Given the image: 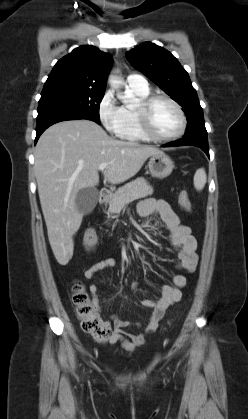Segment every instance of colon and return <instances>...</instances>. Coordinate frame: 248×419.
<instances>
[{"mask_svg":"<svg viewBox=\"0 0 248 419\" xmlns=\"http://www.w3.org/2000/svg\"><path fill=\"white\" fill-rule=\"evenodd\" d=\"M180 206L187 212L192 209V203L186 190L180 191L178 195ZM97 242V236L93 229L86 231L84 235V246L92 250ZM72 303L77 318L81 322V328L92 335L98 341H106L112 334V327L102 320L98 314V306L91 300L90 296L79 281H75L72 287Z\"/></svg>","mask_w":248,"mask_h":419,"instance_id":"obj_1","label":"colon"}]
</instances>
